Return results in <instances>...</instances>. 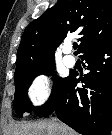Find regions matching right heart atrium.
<instances>
[{"mask_svg": "<svg viewBox=\"0 0 112 135\" xmlns=\"http://www.w3.org/2000/svg\"><path fill=\"white\" fill-rule=\"evenodd\" d=\"M51 95V81L46 75L36 76L27 89V97L33 106L43 105Z\"/></svg>", "mask_w": 112, "mask_h": 135, "instance_id": "d8ad5b80", "label": "right heart atrium"}]
</instances>
